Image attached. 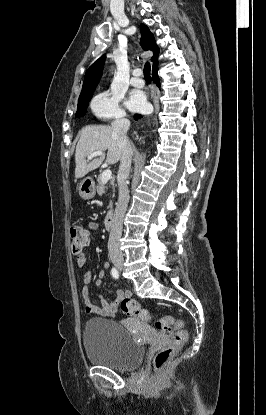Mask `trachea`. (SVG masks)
Masks as SVG:
<instances>
[{
  "label": "trachea",
  "mask_w": 266,
  "mask_h": 415,
  "mask_svg": "<svg viewBox=\"0 0 266 415\" xmlns=\"http://www.w3.org/2000/svg\"><path fill=\"white\" fill-rule=\"evenodd\" d=\"M150 70H151L150 63L147 62L144 65V78L148 81L151 80Z\"/></svg>",
  "instance_id": "3493384b"
}]
</instances>
